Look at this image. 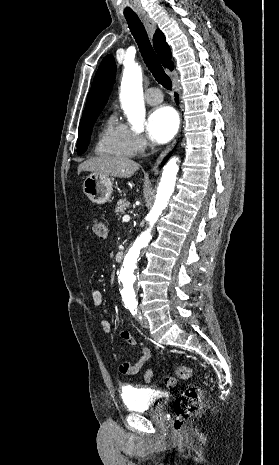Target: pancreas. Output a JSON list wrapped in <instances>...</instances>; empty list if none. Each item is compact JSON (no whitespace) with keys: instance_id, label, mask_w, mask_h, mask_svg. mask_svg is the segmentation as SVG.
Returning a JSON list of instances; mask_svg holds the SVG:
<instances>
[{"instance_id":"cf45deb5","label":"pancreas","mask_w":279,"mask_h":465,"mask_svg":"<svg viewBox=\"0 0 279 465\" xmlns=\"http://www.w3.org/2000/svg\"><path fill=\"white\" fill-rule=\"evenodd\" d=\"M117 207L115 209V213L117 215L119 214H125L126 210L130 208V203L127 202L125 199L124 200H119L117 203Z\"/></svg>"}]
</instances>
